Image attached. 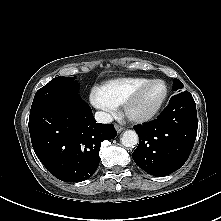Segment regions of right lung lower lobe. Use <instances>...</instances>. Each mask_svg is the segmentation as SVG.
Returning <instances> with one entry per match:
<instances>
[{
    "instance_id": "1",
    "label": "right lung lower lobe",
    "mask_w": 221,
    "mask_h": 221,
    "mask_svg": "<svg viewBox=\"0 0 221 221\" xmlns=\"http://www.w3.org/2000/svg\"><path fill=\"white\" fill-rule=\"evenodd\" d=\"M29 132L40 161L65 182L92 176L99 165L101 142L117 135L112 124L96 123L91 108L78 94L31 106Z\"/></svg>"
}]
</instances>
